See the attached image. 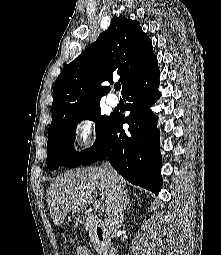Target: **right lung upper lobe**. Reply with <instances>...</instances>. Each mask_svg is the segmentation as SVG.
I'll return each instance as SVG.
<instances>
[{"label":"right lung upper lobe","mask_w":221,"mask_h":255,"mask_svg":"<svg viewBox=\"0 0 221 255\" xmlns=\"http://www.w3.org/2000/svg\"><path fill=\"white\" fill-rule=\"evenodd\" d=\"M154 58L150 39L139 22L114 17L96 42L66 65L56 79L48 132L67 115L99 103L110 89L101 83H112L113 75L120 76L123 93Z\"/></svg>","instance_id":"cb5924a9"}]
</instances>
